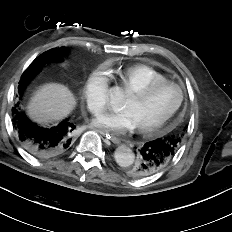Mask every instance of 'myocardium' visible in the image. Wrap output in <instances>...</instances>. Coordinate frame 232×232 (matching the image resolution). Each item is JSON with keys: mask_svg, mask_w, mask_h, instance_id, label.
<instances>
[{"mask_svg": "<svg viewBox=\"0 0 232 232\" xmlns=\"http://www.w3.org/2000/svg\"><path fill=\"white\" fill-rule=\"evenodd\" d=\"M167 86H175L176 88H178L180 93L178 102L175 104V106L169 111V113L166 116H164L156 123L148 126L138 127L139 133L143 135H151L159 131L160 129L164 128L181 108L185 98V90L179 83L170 80H165L161 82H153L140 89L129 92V95L135 97L136 99L144 100L156 90Z\"/></svg>", "mask_w": 232, "mask_h": 232, "instance_id": "1", "label": "myocardium"}]
</instances>
